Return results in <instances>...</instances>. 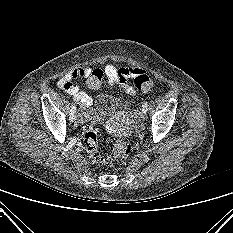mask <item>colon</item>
<instances>
[{
	"mask_svg": "<svg viewBox=\"0 0 233 233\" xmlns=\"http://www.w3.org/2000/svg\"><path fill=\"white\" fill-rule=\"evenodd\" d=\"M105 82H108V78L101 69H94L86 79L87 87L91 90L99 89ZM134 84L143 92H150L155 87L153 80L144 73L134 77ZM83 139L89 157L94 163L99 165H112L118 161H123L128 157L132 149L130 144L123 141H117L108 157H102L99 154L100 143L98 141L97 133L94 127L89 123H86L83 127Z\"/></svg>",
	"mask_w": 233,
	"mask_h": 233,
	"instance_id": "5ec220e1",
	"label": "colon"
}]
</instances>
